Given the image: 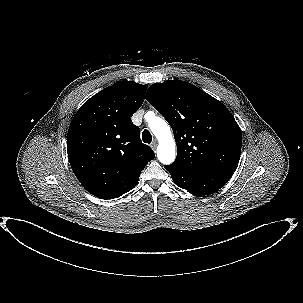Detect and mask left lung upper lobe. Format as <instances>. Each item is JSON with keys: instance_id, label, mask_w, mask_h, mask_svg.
<instances>
[{"instance_id": "5c2ea615", "label": "left lung upper lobe", "mask_w": 303, "mask_h": 303, "mask_svg": "<svg viewBox=\"0 0 303 303\" xmlns=\"http://www.w3.org/2000/svg\"><path fill=\"white\" fill-rule=\"evenodd\" d=\"M146 99L172 127L177 157L169 166L186 172L236 170L242 133L220 101L180 80L152 84Z\"/></svg>"}]
</instances>
